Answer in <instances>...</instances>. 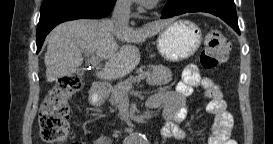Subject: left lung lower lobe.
<instances>
[{
	"instance_id": "1",
	"label": "left lung lower lobe",
	"mask_w": 273,
	"mask_h": 144,
	"mask_svg": "<svg viewBox=\"0 0 273 144\" xmlns=\"http://www.w3.org/2000/svg\"><path fill=\"white\" fill-rule=\"evenodd\" d=\"M186 12H208L218 16L240 34L234 0H168L161 18Z\"/></svg>"
}]
</instances>
